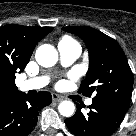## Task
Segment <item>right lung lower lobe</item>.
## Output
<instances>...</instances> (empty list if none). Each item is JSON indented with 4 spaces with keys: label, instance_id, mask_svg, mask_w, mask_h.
<instances>
[{
    "label": "right lung lower lobe",
    "instance_id": "obj_1",
    "mask_svg": "<svg viewBox=\"0 0 136 136\" xmlns=\"http://www.w3.org/2000/svg\"><path fill=\"white\" fill-rule=\"evenodd\" d=\"M51 102L46 91L35 97L19 93L0 101V136H27L37 123L38 111Z\"/></svg>",
    "mask_w": 136,
    "mask_h": 136
}]
</instances>
